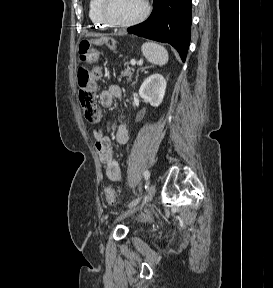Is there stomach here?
Returning <instances> with one entry per match:
<instances>
[{
	"label": "stomach",
	"instance_id": "1",
	"mask_svg": "<svg viewBox=\"0 0 273 288\" xmlns=\"http://www.w3.org/2000/svg\"><path fill=\"white\" fill-rule=\"evenodd\" d=\"M88 42H89V44H90V45H92V43H93V41H92V40H91V41H88Z\"/></svg>",
	"mask_w": 273,
	"mask_h": 288
}]
</instances>
